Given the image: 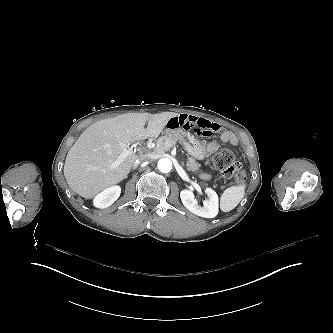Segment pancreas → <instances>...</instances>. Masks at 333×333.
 Returning <instances> with one entry per match:
<instances>
[{
  "label": "pancreas",
  "mask_w": 333,
  "mask_h": 333,
  "mask_svg": "<svg viewBox=\"0 0 333 333\" xmlns=\"http://www.w3.org/2000/svg\"><path fill=\"white\" fill-rule=\"evenodd\" d=\"M179 142L178 138L175 135H164L159 137L156 140V147L153 149L155 154H163L164 152L170 150L172 146L177 145ZM201 164L197 162L193 157L188 156L185 162V168L190 174L195 175L202 173L203 170L200 169ZM223 185L220 184L219 189H222Z\"/></svg>",
  "instance_id": "pancreas-1"
}]
</instances>
